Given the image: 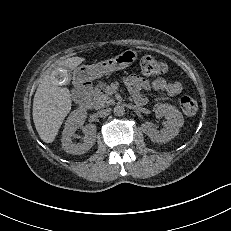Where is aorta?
I'll list each match as a JSON object with an SVG mask.
<instances>
[{
	"instance_id": "762f6f07",
	"label": "aorta",
	"mask_w": 231,
	"mask_h": 231,
	"mask_svg": "<svg viewBox=\"0 0 231 231\" xmlns=\"http://www.w3.org/2000/svg\"><path fill=\"white\" fill-rule=\"evenodd\" d=\"M125 113V109L122 105H117L114 107V114L116 116H123Z\"/></svg>"
}]
</instances>
